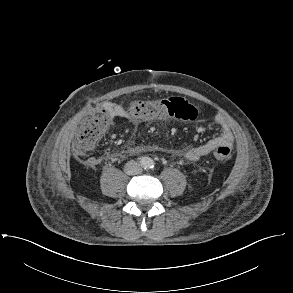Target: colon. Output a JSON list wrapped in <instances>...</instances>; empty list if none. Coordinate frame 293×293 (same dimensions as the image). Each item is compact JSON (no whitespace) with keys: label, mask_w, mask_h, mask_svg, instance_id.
<instances>
[{"label":"colon","mask_w":293,"mask_h":293,"mask_svg":"<svg viewBox=\"0 0 293 293\" xmlns=\"http://www.w3.org/2000/svg\"><path fill=\"white\" fill-rule=\"evenodd\" d=\"M131 117L139 120L155 121L167 117L183 120H193L198 111L182 97H169L156 101H135L129 107ZM111 123V115L105 109L90 114L80 124L73 144L76 156L83 158L87 152L106 132ZM213 157L219 162H226L231 157V148L225 144H216Z\"/></svg>","instance_id":"1"}]
</instances>
